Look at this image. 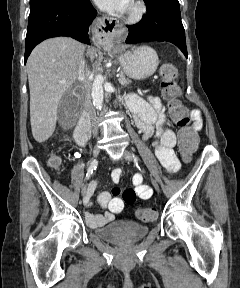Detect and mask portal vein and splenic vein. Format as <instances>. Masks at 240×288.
I'll return each instance as SVG.
<instances>
[{
  "mask_svg": "<svg viewBox=\"0 0 240 288\" xmlns=\"http://www.w3.org/2000/svg\"><path fill=\"white\" fill-rule=\"evenodd\" d=\"M117 76H119V75H117ZM120 76H121V75H120ZM61 82L63 83V82H65V80H62Z\"/></svg>",
  "mask_w": 240,
  "mask_h": 288,
  "instance_id": "portal-vein-and-splenic-vein-1",
  "label": "portal vein and splenic vein"
}]
</instances>
